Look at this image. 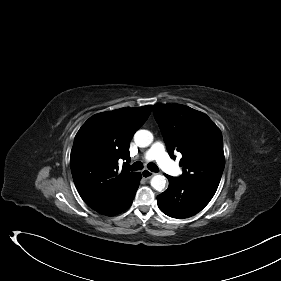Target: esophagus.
I'll return each instance as SVG.
<instances>
[{
  "instance_id": "obj_1",
  "label": "esophagus",
  "mask_w": 281,
  "mask_h": 281,
  "mask_svg": "<svg viewBox=\"0 0 281 281\" xmlns=\"http://www.w3.org/2000/svg\"><path fill=\"white\" fill-rule=\"evenodd\" d=\"M141 174H142V177L145 178V179H149V178H151V177H153L155 175L154 172H151L148 169L142 170Z\"/></svg>"
}]
</instances>
